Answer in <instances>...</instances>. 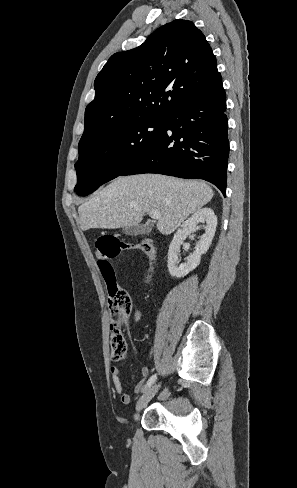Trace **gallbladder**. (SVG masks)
Wrapping results in <instances>:
<instances>
[{
  "label": "gallbladder",
  "mask_w": 297,
  "mask_h": 488,
  "mask_svg": "<svg viewBox=\"0 0 297 488\" xmlns=\"http://www.w3.org/2000/svg\"><path fill=\"white\" fill-rule=\"evenodd\" d=\"M151 229V226L149 224H139V225H133V226H127L123 228V232L126 235H131V236H137L140 234H145Z\"/></svg>",
  "instance_id": "1"
}]
</instances>
